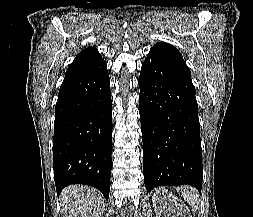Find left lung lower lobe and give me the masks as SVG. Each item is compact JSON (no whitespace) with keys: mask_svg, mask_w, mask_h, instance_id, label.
<instances>
[{"mask_svg":"<svg viewBox=\"0 0 253 217\" xmlns=\"http://www.w3.org/2000/svg\"><path fill=\"white\" fill-rule=\"evenodd\" d=\"M138 84L147 191L181 184L201 191L200 125L191 76L149 53Z\"/></svg>","mask_w":253,"mask_h":217,"instance_id":"left-lung-lower-lobe-1","label":"left lung lower lobe"}]
</instances>
